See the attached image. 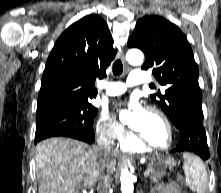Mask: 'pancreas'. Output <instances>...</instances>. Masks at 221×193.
<instances>
[{
	"mask_svg": "<svg viewBox=\"0 0 221 193\" xmlns=\"http://www.w3.org/2000/svg\"><path fill=\"white\" fill-rule=\"evenodd\" d=\"M149 171L151 172V176H150V179L152 181H158L160 180L161 178L164 177L165 175V170L164 169H156L155 167L153 166H149L148 167Z\"/></svg>",
	"mask_w": 221,
	"mask_h": 193,
	"instance_id": "cf45deb5",
	"label": "pancreas"
}]
</instances>
